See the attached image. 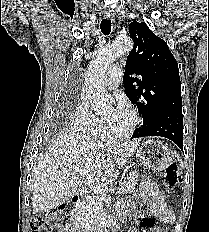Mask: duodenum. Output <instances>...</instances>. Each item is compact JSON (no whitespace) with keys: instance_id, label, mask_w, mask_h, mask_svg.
Segmentation results:
<instances>
[{"instance_id":"1","label":"duodenum","mask_w":209,"mask_h":232,"mask_svg":"<svg viewBox=\"0 0 209 232\" xmlns=\"http://www.w3.org/2000/svg\"><path fill=\"white\" fill-rule=\"evenodd\" d=\"M85 191L81 190V192L72 197L71 202L73 207H78L85 199ZM76 232H115V225L114 224H106L101 223L94 229L90 230L87 227L81 225L80 223H76L75 226Z\"/></svg>"}]
</instances>
